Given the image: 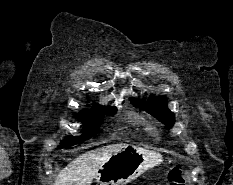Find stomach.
<instances>
[{"instance_id": "stomach-1", "label": "stomach", "mask_w": 233, "mask_h": 185, "mask_svg": "<svg viewBox=\"0 0 233 185\" xmlns=\"http://www.w3.org/2000/svg\"><path fill=\"white\" fill-rule=\"evenodd\" d=\"M161 162L162 156L157 152L126 145L101 166L96 182L99 185H124Z\"/></svg>"}]
</instances>
